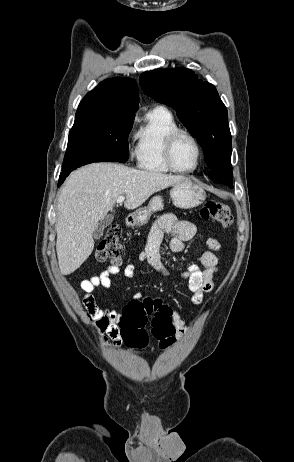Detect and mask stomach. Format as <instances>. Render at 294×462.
<instances>
[{"label": "stomach", "mask_w": 294, "mask_h": 462, "mask_svg": "<svg viewBox=\"0 0 294 462\" xmlns=\"http://www.w3.org/2000/svg\"><path fill=\"white\" fill-rule=\"evenodd\" d=\"M170 197L176 207L190 209L200 205L205 200L206 193L201 186L191 179L185 178L172 186ZM163 209V198L156 195L149 201L147 206L134 211L131 214L130 221L134 226H143L149 221L154 212L162 211Z\"/></svg>", "instance_id": "0dacf381"}]
</instances>
